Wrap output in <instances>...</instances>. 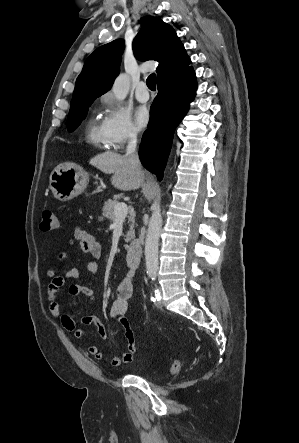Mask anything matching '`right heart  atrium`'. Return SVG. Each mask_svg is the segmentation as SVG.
<instances>
[{"label": "right heart atrium", "mask_w": 299, "mask_h": 443, "mask_svg": "<svg viewBox=\"0 0 299 443\" xmlns=\"http://www.w3.org/2000/svg\"><path fill=\"white\" fill-rule=\"evenodd\" d=\"M105 107V116L101 123L102 131L109 147L122 148L138 137V130L134 126L130 114L110 94L101 98Z\"/></svg>", "instance_id": "obj_1"}]
</instances>
